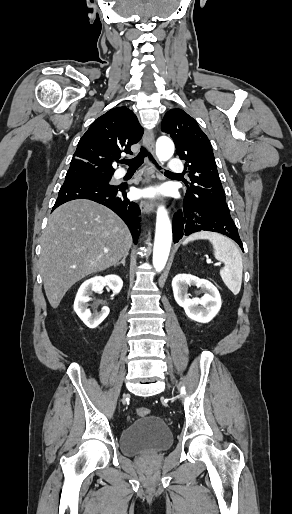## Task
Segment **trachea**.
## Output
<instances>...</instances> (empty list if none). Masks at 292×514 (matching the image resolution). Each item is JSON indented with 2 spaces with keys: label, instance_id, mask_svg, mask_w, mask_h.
<instances>
[{
  "label": "trachea",
  "instance_id": "trachea-1",
  "mask_svg": "<svg viewBox=\"0 0 292 514\" xmlns=\"http://www.w3.org/2000/svg\"><path fill=\"white\" fill-rule=\"evenodd\" d=\"M144 157H149L150 160L156 165L158 169H161V167L157 164V162L154 160L152 155L148 152V150L145 147H141L140 152L134 159H122L120 160L121 164H127L129 166L128 170H137L144 162Z\"/></svg>",
  "mask_w": 292,
  "mask_h": 514
}]
</instances>
